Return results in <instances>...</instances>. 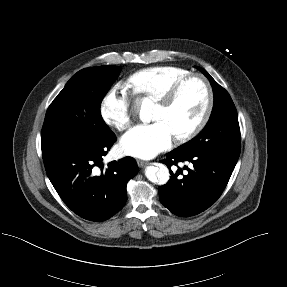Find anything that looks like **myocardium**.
<instances>
[{
    "instance_id": "myocardium-1",
    "label": "myocardium",
    "mask_w": 287,
    "mask_h": 287,
    "mask_svg": "<svg viewBox=\"0 0 287 287\" xmlns=\"http://www.w3.org/2000/svg\"><path fill=\"white\" fill-rule=\"evenodd\" d=\"M198 79L202 82V84L205 87L206 93H207V103L204 110V113L200 120L197 122V124L190 129L188 132L175 136V140L179 143H185L193 138H195L197 135H199L202 130L207 125L212 111L214 107V91L210 84V82L207 80L205 76L199 73H190L181 79H179L176 83H174L171 88L164 94L163 97H161L159 100L156 101L157 105L160 106L163 109H169L174 105L176 102L182 88L191 80Z\"/></svg>"
}]
</instances>
